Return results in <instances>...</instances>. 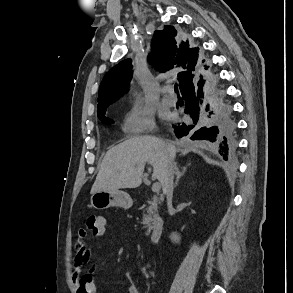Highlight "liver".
Instances as JSON below:
<instances>
[{
	"label": "liver",
	"mask_w": 293,
	"mask_h": 293,
	"mask_svg": "<svg viewBox=\"0 0 293 293\" xmlns=\"http://www.w3.org/2000/svg\"><path fill=\"white\" fill-rule=\"evenodd\" d=\"M175 156V146L159 138H130L106 153L91 193H113L123 188L139 187L146 163L153 166V175L162 184L168 163L172 162Z\"/></svg>",
	"instance_id": "1"
}]
</instances>
